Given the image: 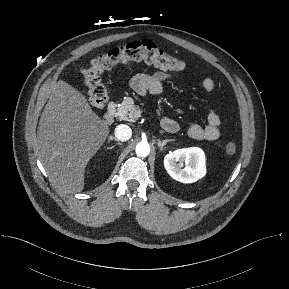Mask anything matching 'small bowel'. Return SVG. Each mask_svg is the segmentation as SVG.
<instances>
[{
    "label": "small bowel",
    "instance_id": "obj_1",
    "mask_svg": "<svg viewBox=\"0 0 289 289\" xmlns=\"http://www.w3.org/2000/svg\"><path fill=\"white\" fill-rule=\"evenodd\" d=\"M171 79L172 75L164 71H157L152 74H138L132 79L131 86L141 96H156L163 91L164 84ZM201 84L206 91H211L215 86L213 79L210 77H205ZM161 125L169 133H174L179 128L177 122L169 117H164ZM220 125V117L216 113L210 112L207 115L206 125L192 124L188 128V135L198 140L214 141L220 136Z\"/></svg>",
    "mask_w": 289,
    "mask_h": 289
}]
</instances>
